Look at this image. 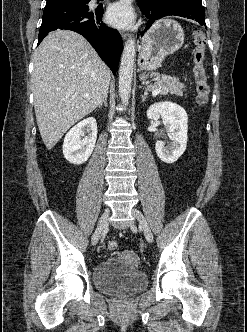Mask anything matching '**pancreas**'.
<instances>
[{"instance_id":"1","label":"pancreas","mask_w":247,"mask_h":332,"mask_svg":"<svg viewBox=\"0 0 247 332\" xmlns=\"http://www.w3.org/2000/svg\"><path fill=\"white\" fill-rule=\"evenodd\" d=\"M151 90L160 89L161 95L175 94L178 96L183 95V90L185 86L180 83L179 78L171 77L168 75H158L153 86L150 87Z\"/></svg>"}]
</instances>
